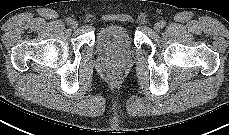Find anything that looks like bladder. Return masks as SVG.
I'll list each match as a JSON object with an SVG mask.
<instances>
[{"instance_id": "bladder-1", "label": "bladder", "mask_w": 229, "mask_h": 135, "mask_svg": "<svg viewBox=\"0 0 229 135\" xmlns=\"http://www.w3.org/2000/svg\"><path fill=\"white\" fill-rule=\"evenodd\" d=\"M98 49L102 53L112 54L132 47L129 30L120 24H111L102 28L97 38Z\"/></svg>"}]
</instances>
